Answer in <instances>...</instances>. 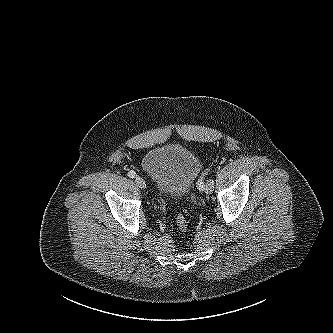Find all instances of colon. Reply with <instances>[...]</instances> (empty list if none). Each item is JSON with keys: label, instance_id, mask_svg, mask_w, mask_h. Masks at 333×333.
<instances>
[{"label": "colon", "instance_id": "1", "mask_svg": "<svg viewBox=\"0 0 333 333\" xmlns=\"http://www.w3.org/2000/svg\"><path fill=\"white\" fill-rule=\"evenodd\" d=\"M176 225L180 231H186L188 228V221L184 214L179 213L176 217Z\"/></svg>", "mask_w": 333, "mask_h": 333}]
</instances>
